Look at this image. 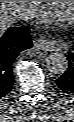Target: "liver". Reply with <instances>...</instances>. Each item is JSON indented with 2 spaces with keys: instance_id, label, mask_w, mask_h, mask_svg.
I'll return each mask as SVG.
<instances>
[{
  "instance_id": "obj_1",
  "label": "liver",
  "mask_w": 74,
  "mask_h": 122,
  "mask_svg": "<svg viewBox=\"0 0 74 122\" xmlns=\"http://www.w3.org/2000/svg\"><path fill=\"white\" fill-rule=\"evenodd\" d=\"M31 1H0V33L3 34L20 16V10Z\"/></svg>"
}]
</instances>
